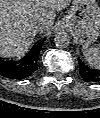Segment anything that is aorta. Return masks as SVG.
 Listing matches in <instances>:
<instances>
[{"mask_svg":"<svg viewBox=\"0 0 100 118\" xmlns=\"http://www.w3.org/2000/svg\"><path fill=\"white\" fill-rule=\"evenodd\" d=\"M56 47L62 49L70 45V36L66 32H59L54 37Z\"/></svg>","mask_w":100,"mask_h":118,"instance_id":"762f6f07","label":"aorta"}]
</instances>
